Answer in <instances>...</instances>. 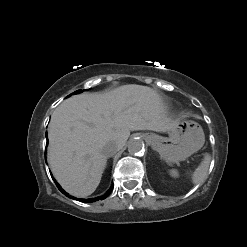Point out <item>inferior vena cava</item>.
<instances>
[{"mask_svg": "<svg viewBox=\"0 0 247 247\" xmlns=\"http://www.w3.org/2000/svg\"><path fill=\"white\" fill-rule=\"evenodd\" d=\"M119 150H120L119 145H117L114 142H109L103 147V152L108 157L113 156Z\"/></svg>", "mask_w": 247, "mask_h": 247, "instance_id": "1", "label": "inferior vena cava"}]
</instances>
